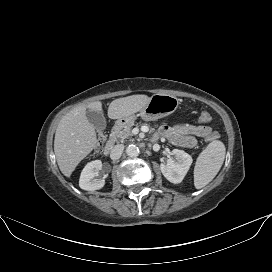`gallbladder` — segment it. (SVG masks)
Segmentation results:
<instances>
[{
  "mask_svg": "<svg viewBox=\"0 0 272 272\" xmlns=\"http://www.w3.org/2000/svg\"><path fill=\"white\" fill-rule=\"evenodd\" d=\"M86 117L96 130L101 131L106 128L107 123L102 112L87 110Z\"/></svg>",
  "mask_w": 272,
  "mask_h": 272,
  "instance_id": "bac80fb5",
  "label": "gallbladder"
}]
</instances>
